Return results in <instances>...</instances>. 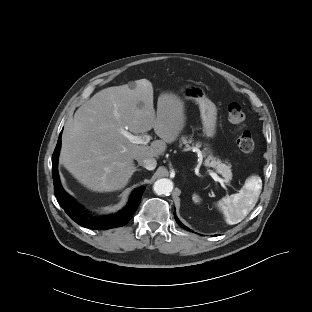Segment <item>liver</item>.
I'll return each mask as SVG.
<instances>
[{
  "label": "liver",
  "mask_w": 312,
  "mask_h": 312,
  "mask_svg": "<svg viewBox=\"0 0 312 312\" xmlns=\"http://www.w3.org/2000/svg\"><path fill=\"white\" fill-rule=\"evenodd\" d=\"M186 123L183 101L173 93H161L157 112L153 86L147 79L103 89L80 106L62 135L60 160L82 185L92 191L124 188L135 171L134 159L159 158ZM154 129L161 140L149 145L131 143L122 134Z\"/></svg>",
  "instance_id": "liver-1"
}]
</instances>
